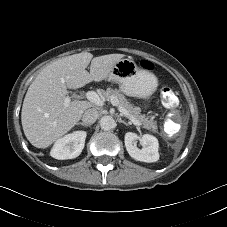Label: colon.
I'll use <instances>...</instances> for the list:
<instances>
[{
    "label": "colon",
    "instance_id": "5ec220e1",
    "mask_svg": "<svg viewBox=\"0 0 227 227\" xmlns=\"http://www.w3.org/2000/svg\"><path fill=\"white\" fill-rule=\"evenodd\" d=\"M142 64H143L144 68L152 69V63L151 62L144 61ZM160 94H161L162 100L165 103H167L171 106L178 105V102H179L178 97L171 88H169V87L162 88Z\"/></svg>",
    "mask_w": 227,
    "mask_h": 227
}]
</instances>
